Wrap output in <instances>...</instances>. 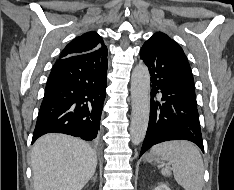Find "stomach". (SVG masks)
<instances>
[{"label": "stomach", "instance_id": "stomach-1", "mask_svg": "<svg viewBox=\"0 0 234 190\" xmlns=\"http://www.w3.org/2000/svg\"><path fill=\"white\" fill-rule=\"evenodd\" d=\"M145 160L148 161L149 163H161V161L163 160V158L159 155H155L153 153H149L145 156Z\"/></svg>", "mask_w": 234, "mask_h": 190}]
</instances>
